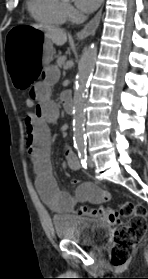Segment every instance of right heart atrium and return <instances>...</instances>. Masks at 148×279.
<instances>
[{
	"label": "right heart atrium",
	"mask_w": 148,
	"mask_h": 279,
	"mask_svg": "<svg viewBox=\"0 0 148 279\" xmlns=\"http://www.w3.org/2000/svg\"><path fill=\"white\" fill-rule=\"evenodd\" d=\"M64 10H65V13H66L67 17H73L76 14L75 10L73 9V7L68 5V4L64 5Z\"/></svg>",
	"instance_id": "right-heart-atrium-1"
}]
</instances>
